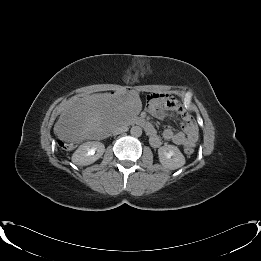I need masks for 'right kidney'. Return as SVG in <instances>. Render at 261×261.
<instances>
[{
  "label": "right kidney",
  "instance_id": "right-kidney-1",
  "mask_svg": "<svg viewBox=\"0 0 261 261\" xmlns=\"http://www.w3.org/2000/svg\"><path fill=\"white\" fill-rule=\"evenodd\" d=\"M105 152V146L98 141L81 144L72 155V162L78 166H87L98 160Z\"/></svg>",
  "mask_w": 261,
  "mask_h": 261
}]
</instances>
